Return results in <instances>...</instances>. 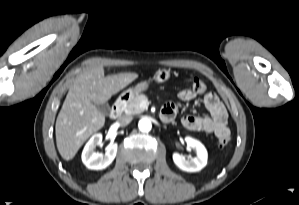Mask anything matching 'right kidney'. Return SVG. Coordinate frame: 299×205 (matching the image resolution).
Listing matches in <instances>:
<instances>
[{
	"label": "right kidney",
	"mask_w": 299,
	"mask_h": 205,
	"mask_svg": "<svg viewBox=\"0 0 299 205\" xmlns=\"http://www.w3.org/2000/svg\"><path fill=\"white\" fill-rule=\"evenodd\" d=\"M102 143V134H94L86 143L82 152V162L88 169L102 170L108 167L116 157L117 143L111 144L107 147L105 154L96 153L94 149L97 145Z\"/></svg>",
	"instance_id": "obj_1"
}]
</instances>
